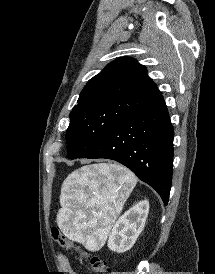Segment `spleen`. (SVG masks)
<instances>
[{
  "label": "spleen",
  "instance_id": "3e777b00",
  "mask_svg": "<svg viewBox=\"0 0 215 274\" xmlns=\"http://www.w3.org/2000/svg\"><path fill=\"white\" fill-rule=\"evenodd\" d=\"M136 183L131 171L116 164L75 170L62 184L59 227L68 238L87 247L104 242Z\"/></svg>",
  "mask_w": 215,
  "mask_h": 274
}]
</instances>
